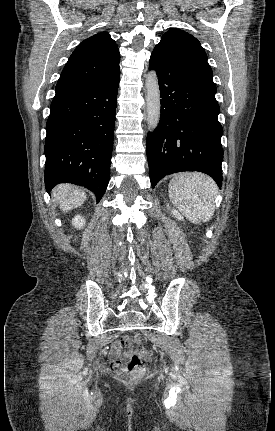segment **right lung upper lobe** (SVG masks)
<instances>
[{
	"label": "right lung upper lobe",
	"mask_w": 275,
	"mask_h": 431,
	"mask_svg": "<svg viewBox=\"0 0 275 431\" xmlns=\"http://www.w3.org/2000/svg\"><path fill=\"white\" fill-rule=\"evenodd\" d=\"M120 54L107 32L84 40L74 50L56 85V92L102 83L119 72Z\"/></svg>",
	"instance_id": "obj_1"
}]
</instances>
